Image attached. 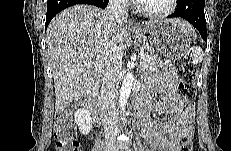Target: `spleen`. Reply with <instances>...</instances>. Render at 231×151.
I'll return each instance as SVG.
<instances>
[{
  "label": "spleen",
  "mask_w": 231,
  "mask_h": 151,
  "mask_svg": "<svg viewBox=\"0 0 231 151\" xmlns=\"http://www.w3.org/2000/svg\"><path fill=\"white\" fill-rule=\"evenodd\" d=\"M192 61L194 64L201 63L203 60V51L200 47H195L192 49Z\"/></svg>",
  "instance_id": "3e777b00"
}]
</instances>
